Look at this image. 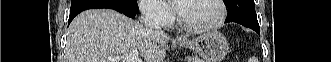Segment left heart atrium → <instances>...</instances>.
I'll return each mask as SVG.
<instances>
[{
  "mask_svg": "<svg viewBox=\"0 0 331 62\" xmlns=\"http://www.w3.org/2000/svg\"><path fill=\"white\" fill-rule=\"evenodd\" d=\"M172 3L175 4V5H174V8H175L176 10H178V11L181 10V5H182L183 2H180V1H172Z\"/></svg>",
  "mask_w": 331,
  "mask_h": 62,
  "instance_id": "obj_1",
  "label": "left heart atrium"
}]
</instances>
